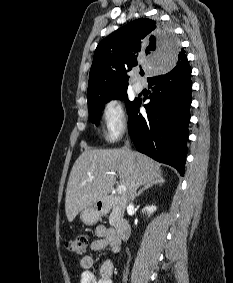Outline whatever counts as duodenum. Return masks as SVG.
<instances>
[{
  "label": "duodenum",
  "instance_id": "410a0bca",
  "mask_svg": "<svg viewBox=\"0 0 233 283\" xmlns=\"http://www.w3.org/2000/svg\"><path fill=\"white\" fill-rule=\"evenodd\" d=\"M126 203L124 198H111L104 201L98 202L97 208L100 213H106L115 206L122 207ZM114 234L117 242L120 244L121 241L127 239L130 234L129 223L124 219L116 220L114 224Z\"/></svg>",
  "mask_w": 233,
  "mask_h": 283
}]
</instances>
